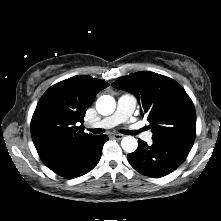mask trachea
<instances>
[{"label": "trachea", "instance_id": "3493384b", "mask_svg": "<svg viewBox=\"0 0 221 221\" xmlns=\"http://www.w3.org/2000/svg\"><path fill=\"white\" fill-rule=\"evenodd\" d=\"M91 132H93L94 134H102L104 133V130L103 129H100V128H95V129H90ZM127 134L129 135H136L137 132L136 131H127Z\"/></svg>", "mask_w": 221, "mask_h": 221}]
</instances>
